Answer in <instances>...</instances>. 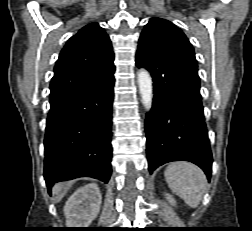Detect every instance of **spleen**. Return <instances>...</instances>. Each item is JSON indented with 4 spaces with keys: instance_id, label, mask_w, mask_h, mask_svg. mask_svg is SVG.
Segmentation results:
<instances>
[{
    "instance_id": "3e777b00",
    "label": "spleen",
    "mask_w": 252,
    "mask_h": 231,
    "mask_svg": "<svg viewBox=\"0 0 252 231\" xmlns=\"http://www.w3.org/2000/svg\"><path fill=\"white\" fill-rule=\"evenodd\" d=\"M164 176L169 188L184 202L196 208L205 193L207 179L204 172L190 162H173L165 170Z\"/></svg>"
}]
</instances>
